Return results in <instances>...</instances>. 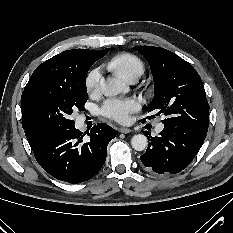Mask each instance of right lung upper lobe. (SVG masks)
Returning <instances> with one entry per match:
<instances>
[{
	"label": "right lung upper lobe",
	"instance_id": "right-lung-upper-lobe-1",
	"mask_svg": "<svg viewBox=\"0 0 233 233\" xmlns=\"http://www.w3.org/2000/svg\"><path fill=\"white\" fill-rule=\"evenodd\" d=\"M109 50V48L100 51L73 49L62 52L40 64L31 75L27 85L36 81L69 83L75 79L79 68L87 63L96 62Z\"/></svg>",
	"mask_w": 233,
	"mask_h": 233
}]
</instances>
